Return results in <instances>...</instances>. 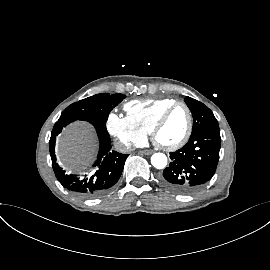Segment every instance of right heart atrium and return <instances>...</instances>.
Here are the masks:
<instances>
[{
    "label": "right heart atrium",
    "instance_id": "right-heart-atrium-1",
    "mask_svg": "<svg viewBox=\"0 0 270 270\" xmlns=\"http://www.w3.org/2000/svg\"><path fill=\"white\" fill-rule=\"evenodd\" d=\"M108 131L126 146L140 145L146 134L128 117L110 113L107 118Z\"/></svg>",
    "mask_w": 270,
    "mask_h": 270
}]
</instances>
